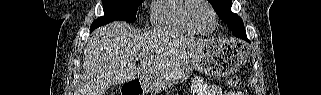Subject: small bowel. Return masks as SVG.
<instances>
[{
	"mask_svg": "<svg viewBox=\"0 0 321 95\" xmlns=\"http://www.w3.org/2000/svg\"><path fill=\"white\" fill-rule=\"evenodd\" d=\"M195 95H222V91L215 85H207L202 83H195ZM234 95V94H233Z\"/></svg>",
	"mask_w": 321,
	"mask_h": 95,
	"instance_id": "obj_1",
	"label": "small bowel"
}]
</instances>
